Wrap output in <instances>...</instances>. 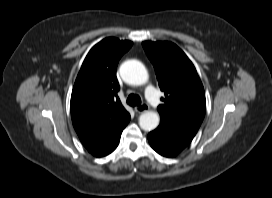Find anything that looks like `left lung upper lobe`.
<instances>
[{"mask_svg": "<svg viewBox=\"0 0 272 198\" xmlns=\"http://www.w3.org/2000/svg\"><path fill=\"white\" fill-rule=\"evenodd\" d=\"M142 45L165 95L158 106L161 118L198 130L204 119L206 99L194 65L171 42L145 41Z\"/></svg>", "mask_w": 272, "mask_h": 198, "instance_id": "5c2ea615", "label": "left lung upper lobe"}]
</instances>
